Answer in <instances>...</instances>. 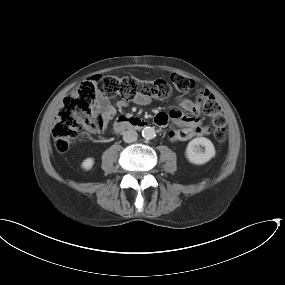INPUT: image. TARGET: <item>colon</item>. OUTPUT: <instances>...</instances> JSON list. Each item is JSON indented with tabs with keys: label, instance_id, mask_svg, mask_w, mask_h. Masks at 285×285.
<instances>
[{
	"label": "colon",
	"instance_id": "obj_1",
	"mask_svg": "<svg viewBox=\"0 0 285 285\" xmlns=\"http://www.w3.org/2000/svg\"><path fill=\"white\" fill-rule=\"evenodd\" d=\"M171 83L179 92L188 91L194 86L192 79L180 74H172ZM171 92V86L162 79L143 81L131 75L94 76L80 84L64 99L53 129L55 148L63 153L76 141L79 133L85 129L89 118L93 115L98 94L120 95L125 99H134L138 97L166 98ZM196 101L203 112L212 119V127L208 131L205 130V133H210L218 142H224L227 133L219 102L207 90L199 91ZM167 122L168 116L165 113H159L154 117V123L158 126H165ZM95 131L98 132L99 129L95 128Z\"/></svg>",
	"mask_w": 285,
	"mask_h": 285
}]
</instances>
